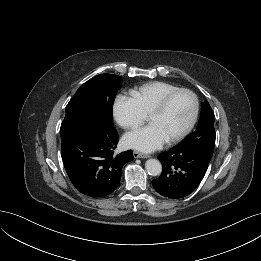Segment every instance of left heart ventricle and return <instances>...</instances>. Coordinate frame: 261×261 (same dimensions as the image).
Instances as JSON below:
<instances>
[{
  "label": "left heart ventricle",
  "instance_id": "b2bd125f",
  "mask_svg": "<svg viewBox=\"0 0 261 261\" xmlns=\"http://www.w3.org/2000/svg\"><path fill=\"white\" fill-rule=\"evenodd\" d=\"M193 111V100L188 94L173 99L165 112L149 117V123L157 125L170 138L188 124Z\"/></svg>",
  "mask_w": 261,
  "mask_h": 261
}]
</instances>
